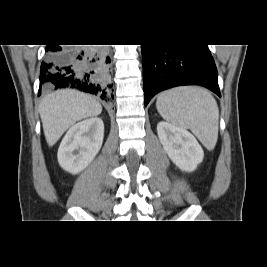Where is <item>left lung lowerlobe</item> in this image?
<instances>
[{
  "label": "left lung lower lobe",
  "instance_id": "left-lung-lower-lobe-1",
  "mask_svg": "<svg viewBox=\"0 0 267 267\" xmlns=\"http://www.w3.org/2000/svg\"><path fill=\"white\" fill-rule=\"evenodd\" d=\"M145 106L160 91L201 85L220 95L208 45H142Z\"/></svg>",
  "mask_w": 267,
  "mask_h": 267
}]
</instances>
